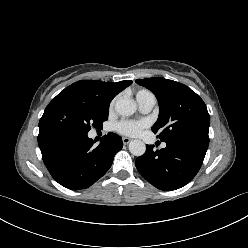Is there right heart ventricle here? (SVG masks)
I'll use <instances>...</instances> for the list:
<instances>
[{
    "instance_id": "1",
    "label": "right heart ventricle",
    "mask_w": 248,
    "mask_h": 248,
    "mask_svg": "<svg viewBox=\"0 0 248 248\" xmlns=\"http://www.w3.org/2000/svg\"><path fill=\"white\" fill-rule=\"evenodd\" d=\"M149 95H153V94L150 91L146 90V89H140L136 93V98L138 100L140 98H143V97L149 96Z\"/></svg>"
}]
</instances>
